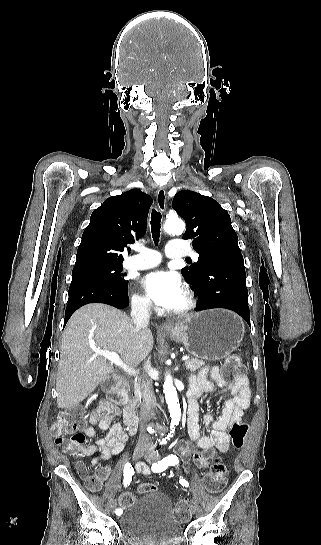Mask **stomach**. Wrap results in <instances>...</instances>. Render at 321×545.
I'll return each instance as SVG.
<instances>
[{
  "mask_svg": "<svg viewBox=\"0 0 321 545\" xmlns=\"http://www.w3.org/2000/svg\"><path fill=\"white\" fill-rule=\"evenodd\" d=\"M165 333L182 343L197 359L219 361L239 347L244 337V323L232 311L211 309L186 317Z\"/></svg>",
  "mask_w": 321,
  "mask_h": 545,
  "instance_id": "1",
  "label": "stomach"
}]
</instances>
